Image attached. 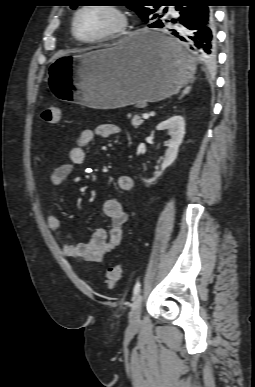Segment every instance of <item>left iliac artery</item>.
<instances>
[{"mask_svg": "<svg viewBox=\"0 0 255 387\" xmlns=\"http://www.w3.org/2000/svg\"><path fill=\"white\" fill-rule=\"evenodd\" d=\"M141 290V285H140V282H137L134 286V289H133V294L134 295H137Z\"/></svg>", "mask_w": 255, "mask_h": 387, "instance_id": "1", "label": "left iliac artery"}]
</instances>
